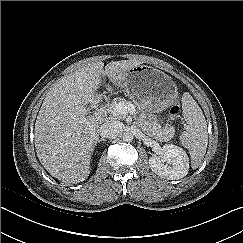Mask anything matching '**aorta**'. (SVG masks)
<instances>
[{"label":"aorta","mask_w":243,"mask_h":243,"mask_svg":"<svg viewBox=\"0 0 243 243\" xmlns=\"http://www.w3.org/2000/svg\"><path fill=\"white\" fill-rule=\"evenodd\" d=\"M133 133L131 131H126L123 133V141L125 142H131L133 140Z\"/></svg>","instance_id":"1"}]
</instances>
